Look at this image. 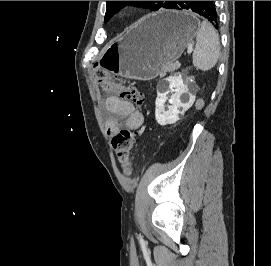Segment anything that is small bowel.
<instances>
[{
	"mask_svg": "<svg viewBox=\"0 0 271 266\" xmlns=\"http://www.w3.org/2000/svg\"><path fill=\"white\" fill-rule=\"evenodd\" d=\"M103 109L110 114L106 121V129L109 135H113L120 127L121 121L129 130H138L143 122V114L137 111L130 101L117 96H108L103 101Z\"/></svg>",
	"mask_w": 271,
	"mask_h": 266,
	"instance_id": "c3829d8e",
	"label": "small bowel"
}]
</instances>
